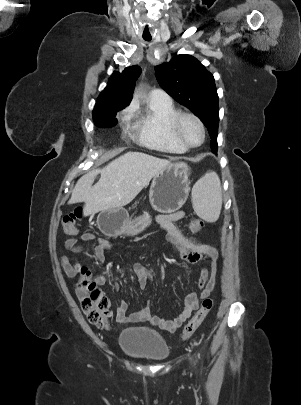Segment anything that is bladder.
Wrapping results in <instances>:
<instances>
[{
    "instance_id": "31cf9c89",
    "label": "bladder",
    "mask_w": 301,
    "mask_h": 405,
    "mask_svg": "<svg viewBox=\"0 0 301 405\" xmlns=\"http://www.w3.org/2000/svg\"><path fill=\"white\" fill-rule=\"evenodd\" d=\"M119 346L126 355L146 361H162L169 354L163 336L146 327L124 329L119 336Z\"/></svg>"
}]
</instances>
